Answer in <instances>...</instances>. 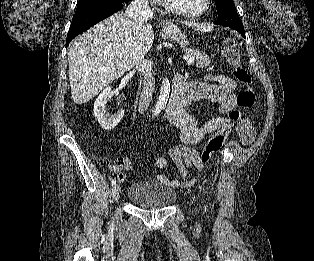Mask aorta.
I'll use <instances>...</instances> for the list:
<instances>
[{
    "mask_svg": "<svg viewBox=\"0 0 314 261\" xmlns=\"http://www.w3.org/2000/svg\"><path fill=\"white\" fill-rule=\"evenodd\" d=\"M170 94V82L167 77L162 81L160 95L154 109V115H158L166 106Z\"/></svg>",
    "mask_w": 314,
    "mask_h": 261,
    "instance_id": "aorta-1",
    "label": "aorta"
}]
</instances>
